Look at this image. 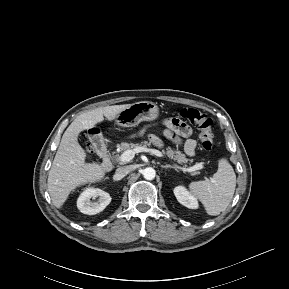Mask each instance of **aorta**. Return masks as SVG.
I'll use <instances>...</instances> for the list:
<instances>
[{"label": "aorta", "instance_id": "obj_1", "mask_svg": "<svg viewBox=\"0 0 289 289\" xmlns=\"http://www.w3.org/2000/svg\"><path fill=\"white\" fill-rule=\"evenodd\" d=\"M156 171L152 167H147L143 170V177L146 180H153L155 178Z\"/></svg>", "mask_w": 289, "mask_h": 289}]
</instances>
